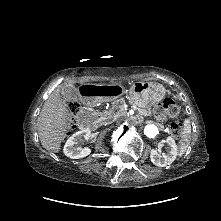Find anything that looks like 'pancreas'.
<instances>
[{
    "instance_id": "cf45deb5",
    "label": "pancreas",
    "mask_w": 221,
    "mask_h": 221,
    "mask_svg": "<svg viewBox=\"0 0 221 221\" xmlns=\"http://www.w3.org/2000/svg\"><path fill=\"white\" fill-rule=\"evenodd\" d=\"M125 103V100L123 98H120L114 102V105L112 108L108 111L104 112H97V116H99V120L102 123L109 122L110 119H115L120 116H125L126 111L123 109V104ZM139 113H141L143 116H151L152 112L150 109H142L138 108Z\"/></svg>"
}]
</instances>
